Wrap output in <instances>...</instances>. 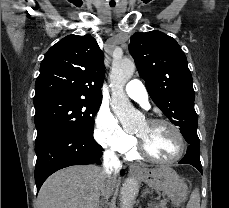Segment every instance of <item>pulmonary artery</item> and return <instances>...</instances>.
Listing matches in <instances>:
<instances>
[{"mask_svg": "<svg viewBox=\"0 0 229 208\" xmlns=\"http://www.w3.org/2000/svg\"><path fill=\"white\" fill-rule=\"evenodd\" d=\"M126 94L140 103L144 108H149L148 93L140 79H130L125 86Z\"/></svg>", "mask_w": 229, "mask_h": 208, "instance_id": "e3ab8cb5", "label": "pulmonary artery"}]
</instances>
